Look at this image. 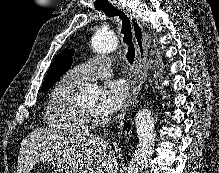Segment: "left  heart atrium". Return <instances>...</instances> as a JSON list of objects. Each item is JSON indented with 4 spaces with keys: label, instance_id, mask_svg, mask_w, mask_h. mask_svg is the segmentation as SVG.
<instances>
[{
    "label": "left heart atrium",
    "instance_id": "1",
    "mask_svg": "<svg viewBox=\"0 0 219 173\" xmlns=\"http://www.w3.org/2000/svg\"><path fill=\"white\" fill-rule=\"evenodd\" d=\"M129 97V88L122 79L110 80L104 83L96 108L101 116L111 115L120 110Z\"/></svg>",
    "mask_w": 219,
    "mask_h": 173
}]
</instances>
